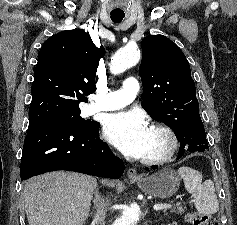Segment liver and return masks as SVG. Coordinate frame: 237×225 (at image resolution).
Here are the masks:
<instances>
[{
    "instance_id": "1",
    "label": "liver",
    "mask_w": 237,
    "mask_h": 225,
    "mask_svg": "<svg viewBox=\"0 0 237 225\" xmlns=\"http://www.w3.org/2000/svg\"><path fill=\"white\" fill-rule=\"evenodd\" d=\"M96 187V178L74 172L55 171L31 178L23 190L29 225H83Z\"/></svg>"
}]
</instances>
